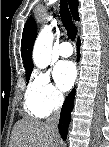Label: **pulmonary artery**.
Masks as SVG:
<instances>
[{"instance_id":"e3ab8cb5","label":"pulmonary artery","mask_w":109,"mask_h":147,"mask_svg":"<svg viewBox=\"0 0 109 147\" xmlns=\"http://www.w3.org/2000/svg\"><path fill=\"white\" fill-rule=\"evenodd\" d=\"M58 53L61 57H70L73 53V47L71 43L67 41L62 42L58 47Z\"/></svg>"}]
</instances>
